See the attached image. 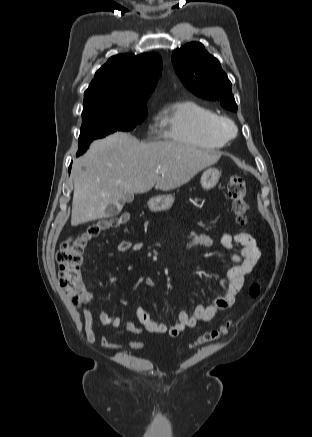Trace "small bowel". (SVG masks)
Segmentation results:
<instances>
[{"label":"small bowel","mask_w":312,"mask_h":437,"mask_svg":"<svg viewBox=\"0 0 312 437\" xmlns=\"http://www.w3.org/2000/svg\"><path fill=\"white\" fill-rule=\"evenodd\" d=\"M182 241L187 242L190 246L206 248L215 245V241L210 235L197 233L195 231L187 232ZM221 244L229 252L234 266L229 269L226 276L220 281L223 288V293L220 296L215 298L212 303L207 306H196L191 315L181 310L178 313L177 323L172 326H167L165 323L157 321L154 316L150 315L141 306H136L134 313L142 324V327H138L131 321L126 320L125 325L127 329L133 333L149 332L154 334H168L171 337H176L185 329L195 327L198 321H210L219 311L230 308L234 304L236 295L243 285L244 277L253 270L261 256V252L252 235L245 232H225L221 237ZM237 247L239 249H237ZM143 248L144 244L142 242H133L130 240H123L117 245V251L120 253L139 252L142 251ZM138 282L148 287L155 286V281L151 277H142ZM157 309L158 303H155L154 310L157 311ZM82 318L86 338L89 343L100 344L102 347L110 350L123 349V345L111 342L104 334H98L96 332L90 308L86 307L83 309ZM99 321L103 325L118 327L122 323V318L118 315H110L106 312H101L99 314ZM126 345L132 349H142L145 347L144 342L135 340L127 341Z\"/></svg>","instance_id":"1"}]
</instances>
